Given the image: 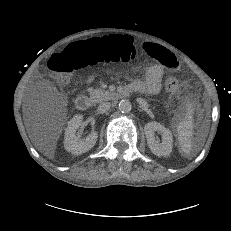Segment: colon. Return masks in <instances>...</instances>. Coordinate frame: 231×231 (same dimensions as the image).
Here are the masks:
<instances>
[{
	"label": "colon",
	"instance_id": "colon-1",
	"mask_svg": "<svg viewBox=\"0 0 231 231\" xmlns=\"http://www.w3.org/2000/svg\"><path fill=\"white\" fill-rule=\"evenodd\" d=\"M137 59V47L130 36L112 35L69 45L62 54L51 58L49 68L59 75L62 83H67L78 68L98 62L128 63ZM172 73L168 71L165 87L176 93L179 81Z\"/></svg>",
	"mask_w": 231,
	"mask_h": 231
}]
</instances>
